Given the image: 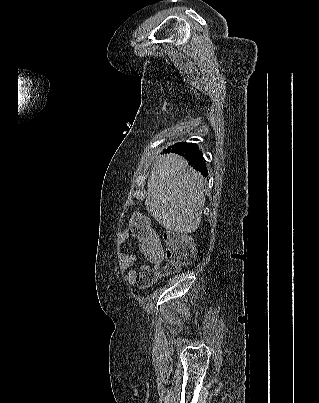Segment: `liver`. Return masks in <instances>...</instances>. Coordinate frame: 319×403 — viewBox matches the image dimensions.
Segmentation results:
<instances>
[{"label":"liver","instance_id":"6515ba94","mask_svg":"<svg viewBox=\"0 0 319 403\" xmlns=\"http://www.w3.org/2000/svg\"><path fill=\"white\" fill-rule=\"evenodd\" d=\"M203 181L183 157L162 155L148 178L146 209L167 230L194 232L205 205Z\"/></svg>","mask_w":319,"mask_h":403}]
</instances>
